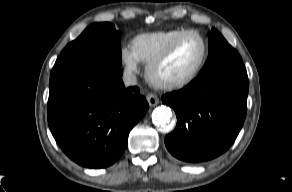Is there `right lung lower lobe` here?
<instances>
[{
	"label": "right lung lower lobe",
	"mask_w": 292,
	"mask_h": 192,
	"mask_svg": "<svg viewBox=\"0 0 292 192\" xmlns=\"http://www.w3.org/2000/svg\"><path fill=\"white\" fill-rule=\"evenodd\" d=\"M138 92L124 87L120 65L105 57H58L48 99V124L57 144L81 166L112 165L148 110Z\"/></svg>",
	"instance_id": "98d812e1"
}]
</instances>
